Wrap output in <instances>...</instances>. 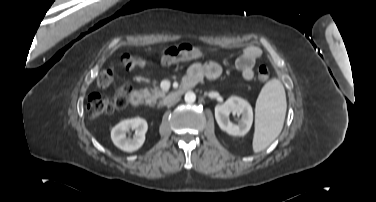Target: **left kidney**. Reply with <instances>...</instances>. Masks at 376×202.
<instances>
[{
  "label": "left kidney",
  "instance_id": "left-kidney-1",
  "mask_svg": "<svg viewBox=\"0 0 376 202\" xmlns=\"http://www.w3.org/2000/svg\"><path fill=\"white\" fill-rule=\"evenodd\" d=\"M230 113L241 115L238 124H233L229 120ZM215 119L221 130L229 135L244 136L252 126L253 110L246 100L237 96H231L224 104L215 106Z\"/></svg>",
  "mask_w": 376,
  "mask_h": 202
}]
</instances>
